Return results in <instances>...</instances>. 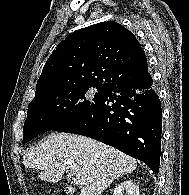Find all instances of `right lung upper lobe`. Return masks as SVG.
Returning a JSON list of instances; mask_svg holds the SVG:
<instances>
[{
    "instance_id": "obj_1",
    "label": "right lung upper lobe",
    "mask_w": 189,
    "mask_h": 195,
    "mask_svg": "<svg viewBox=\"0 0 189 195\" xmlns=\"http://www.w3.org/2000/svg\"><path fill=\"white\" fill-rule=\"evenodd\" d=\"M147 66L132 32L116 22L97 23L58 44L42 70L34 99L78 86L108 89L142 75Z\"/></svg>"
}]
</instances>
